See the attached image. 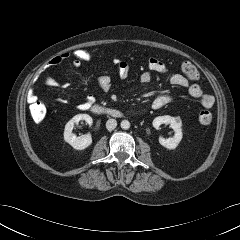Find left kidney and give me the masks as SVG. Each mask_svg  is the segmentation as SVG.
Instances as JSON below:
<instances>
[{
	"mask_svg": "<svg viewBox=\"0 0 240 240\" xmlns=\"http://www.w3.org/2000/svg\"><path fill=\"white\" fill-rule=\"evenodd\" d=\"M161 124H170V126L174 130L175 134H174L173 137L168 138V139L160 137L159 138V143L163 147H165L169 150L175 149L178 146V144L180 143V141L182 140V137H183L181 119L177 118V117H172V116H169V115H164V116L156 117L152 122V125L155 129H159Z\"/></svg>",
	"mask_w": 240,
	"mask_h": 240,
	"instance_id": "left-kidney-1",
	"label": "left kidney"
}]
</instances>
